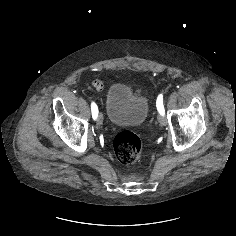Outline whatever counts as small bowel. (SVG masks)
I'll return each instance as SVG.
<instances>
[{"instance_id":"small-bowel-1","label":"small bowel","mask_w":236,"mask_h":236,"mask_svg":"<svg viewBox=\"0 0 236 236\" xmlns=\"http://www.w3.org/2000/svg\"><path fill=\"white\" fill-rule=\"evenodd\" d=\"M94 86H95L97 89H101V88H102L101 83H99V82H97V81L94 82Z\"/></svg>"}]
</instances>
